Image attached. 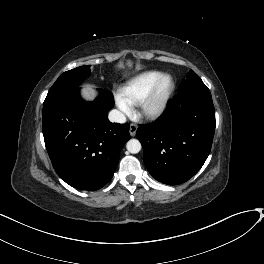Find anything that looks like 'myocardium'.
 Masks as SVG:
<instances>
[{"mask_svg": "<svg viewBox=\"0 0 264 264\" xmlns=\"http://www.w3.org/2000/svg\"><path fill=\"white\" fill-rule=\"evenodd\" d=\"M163 85H165V89L161 92ZM174 88V79L168 74H162L148 93L138 102L137 116L146 120H154L160 117L166 110Z\"/></svg>", "mask_w": 264, "mask_h": 264, "instance_id": "myocardium-1", "label": "myocardium"}]
</instances>
